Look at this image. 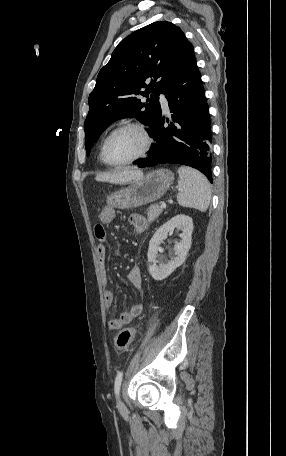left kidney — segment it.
Instances as JSON below:
<instances>
[{
	"label": "left kidney",
	"mask_w": 286,
	"mask_h": 456,
	"mask_svg": "<svg viewBox=\"0 0 286 456\" xmlns=\"http://www.w3.org/2000/svg\"><path fill=\"white\" fill-rule=\"evenodd\" d=\"M175 228L181 230V241L174 247L175 255L173 259L168 261L166 264L157 265L159 246L164 239L167 238L168 233L173 231ZM193 231L192 218L179 214L174 216L172 219L163 224L155 232L149 243L148 249V262H149V273L157 281H161L168 277L177 267L181 266L188 254L191 247V235Z\"/></svg>",
	"instance_id": "1"
}]
</instances>
